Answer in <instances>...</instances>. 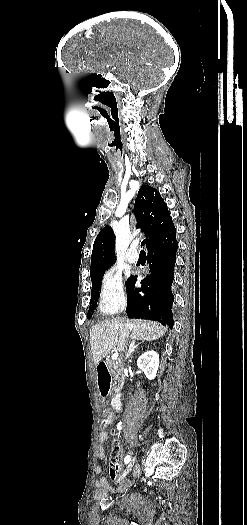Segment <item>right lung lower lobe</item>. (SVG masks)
<instances>
[{"mask_svg": "<svg viewBox=\"0 0 247 525\" xmlns=\"http://www.w3.org/2000/svg\"><path fill=\"white\" fill-rule=\"evenodd\" d=\"M149 275L141 281L142 287L135 288L136 276H131L126 284L127 314L130 318L158 321L173 327L171 292L174 265L176 262V229L172 224L146 242Z\"/></svg>", "mask_w": 247, "mask_h": 525, "instance_id": "1", "label": "right lung lower lobe"}]
</instances>
